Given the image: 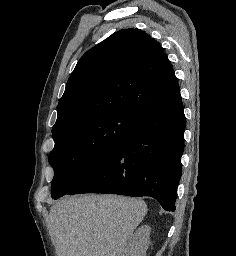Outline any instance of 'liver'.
Masks as SVG:
<instances>
[{"mask_svg": "<svg viewBox=\"0 0 236 256\" xmlns=\"http://www.w3.org/2000/svg\"><path fill=\"white\" fill-rule=\"evenodd\" d=\"M146 214L141 198L84 194L59 200L49 214L56 256H127V242Z\"/></svg>", "mask_w": 236, "mask_h": 256, "instance_id": "obj_1", "label": "liver"}]
</instances>
